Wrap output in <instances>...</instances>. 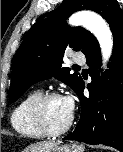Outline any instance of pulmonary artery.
I'll return each mask as SVG.
<instances>
[{"label": "pulmonary artery", "mask_w": 123, "mask_h": 152, "mask_svg": "<svg viewBox=\"0 0 123 152\" xmlns=\"http://www.w3.org/2000/svg\"><path fill=\"white\" fill-rule=\"evenodd\" d=\"M73 62L75 63H84L85 62V57L83 55H74L73 58H72Z\"/></svg>", "instance_id": "obj_1"}]
</instances>
